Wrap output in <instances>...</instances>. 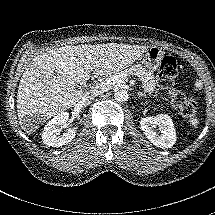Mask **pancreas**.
<instances>
[{
  "instance_id": "1",
  "label": "pancreas",
  "mask_w": 215,
  "mask_h": 215,
  "mask_svg": "<svg viewBox=\"0 0 215 215\" xmlns=\"http://www.w3.org/2000/svg\"><path fill=\"white\" fill-rule=\"evenodd\" d=\"M114 74H117V73L114 72ZM124 74L136 76L142 83L141 87L145 95L153 94L156 87L155 76L151 71H148L141 64L132 65L120 73V75H124Z\"/></svg>"
}]
</instances>
